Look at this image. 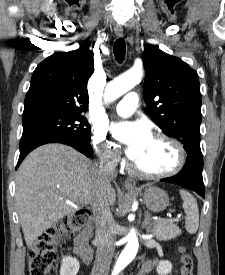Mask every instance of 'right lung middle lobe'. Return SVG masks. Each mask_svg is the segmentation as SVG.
<instances>
[{"label": "right lung middle lobe", "mask_w": 225, "mask_h": 275, "mask_svg": "<svg viewBox=\"0 0 225 275\" xmlns=\"http://www.w3.org/2000/svg\"><path fill=\"white\" fill-rule=\"evenodd\" d=\"M81 112H41L23 116L22 135L44 133L90 143L91 126Z\"/></svg>", "instance_id": "dd1d6c3e"}]
</instances>
